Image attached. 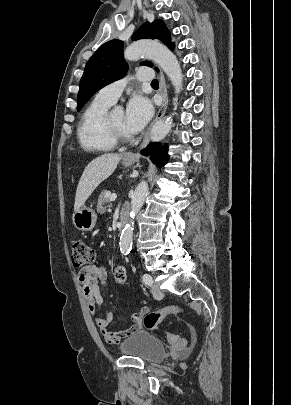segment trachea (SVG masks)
Here are the masks:
<instances>
[{
    "label": "trachea",
    "instance_id": "trachea-1",
    "mask_svg": "<svg viewBox=\"0 0 291 405\" xmlns=\"http://www.w3.org/2000/svg\"><path fill=\"white\" fill-rule=\"evenodd\" d=\"M151 85L158 86V85H159L158 80H157V79L153 80V81L151 82Z\"/></svg>",
    "mask_w": 291,
    "mask_h": 405
}]
</instances>
